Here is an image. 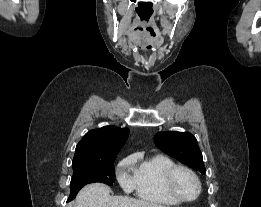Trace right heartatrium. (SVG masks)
<instances>
[{"mask_svg":"<svg viewBox=\"0 0 261 207\" xmlns=\"http://www.w3.org/2000/svg\"><path fill=\"white\" fill-rule=\"evenodd\" d=\"M130 167L131 157L123 159L117 167V179L126 192H131L135 189V177L129 173Z\"/></svg>","mask_w":261,"mask_h":207,"instance_id":"right-heart-atrium-1","label":"right heart atrium"}]
</instances>
